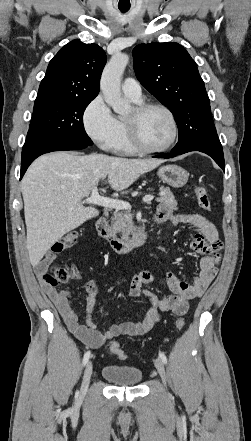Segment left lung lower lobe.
<instances>
[{
  "label": "left lung lower lobe",
  "mask_w": 251,
  "mask_h": 441,
  "mask_svg": "<svg viewBox=\"0 0 251 441\" xmlns=\"http://www.w3.org/2000/svg\"><path fill=\"white\" fill-rule=\"evenodd\" d=\"M191 151L206 153L225 170L222 146L211 117L202 116L198 120L190 122L189 125L180 127L178 143L171 150V154L154 157L171 158Z\"/></svg>",
  "instance_id": "0a47b994"
}]
</instances>
